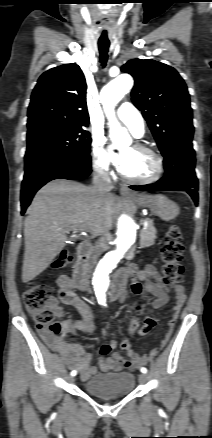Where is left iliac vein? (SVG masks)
I'll list each match as a JSON object with an SVG mask.
<instances>
[{
    "label": "left iliac vein",
    "instance_id": "4c4485c4",
    "mask_svg": "<svg viewBox=\"0 0 212 438\" xmlns=\"http://www.w3.org/2000/svg\"><path fill=\"white\" fill-rule=\"evenodd\" d=\"M147 380H148V376H147V374L146 373H141L140 375H139V381L141 382V383H146L147 382Z\"/></svg>",
    "mask_w": 212,
    "mask_h": 438
}]
</instances>
